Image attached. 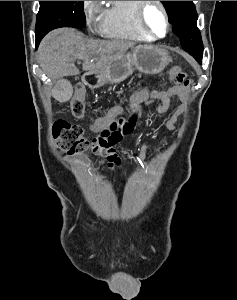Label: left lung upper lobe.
I'll list each match as a JSON object with an SVG mask.
<instances>
[{"label": "left lung upper lobe", "instance_id": "obj_1", "mask_svg": "<svg viewBox=\"0 0 237 300\" xmlns=\"http://www.w3.org/2000/svg\"><path fill=\"white\" fill-rule=\"evenodd\" d=\"M167 10L173 31L182 47L201 63L203 43L196 22L198 15L193 1H161Z\"/></svg>", "mask_w": 237, "mask_h": 300}]
</instances>
